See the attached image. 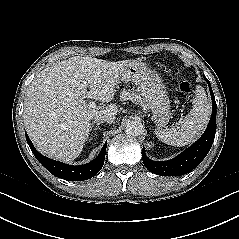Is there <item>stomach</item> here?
I'll return each mask as SVG.
<instances>
[{
	"instance_id": "0dacf381",
	"label": "stomach",
	"mask_w": 239,
	"mask_h": 239,
	"mask_svg": "<svg viewBox=\"0 0 239 239\" xmlns=\"http://www.w3.org/2000/svg\"><path fill=\"white\" fill-rule=\"evenodd\" d=\"M133 82L143 96V107L150 110L158 127L165 126L171 115L170 102L161 76L144 62L131 60L120 74L119 82Z\"/></svg>"
}]
</instances>
